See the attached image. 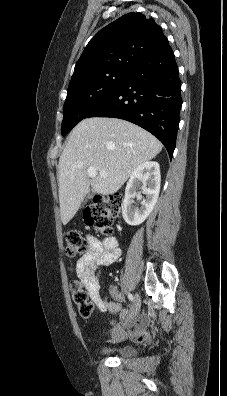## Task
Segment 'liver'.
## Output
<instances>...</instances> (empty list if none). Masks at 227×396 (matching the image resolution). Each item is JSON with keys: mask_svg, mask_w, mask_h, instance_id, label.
I'll list each match as a JSON object with an SVG mask.
<instances>
[{"mask_svg": "<svg viewBox=\"0 0 227 396\" xmlns=\"http://www.w3.org/2000/svg\"><path fill=\"white\" fill-rule=\"evenodd\" d=\"M162 143L128 121L92 117L82 120L69 135L58 164L60 216L66 225L90 190L109 195L117 192L132 172L153 159ZM97 175L89 179L87 170ZM105 171L106 177L100 176Z\"/></svg>", "mask_w": 227, "mask_h": 396, "instance_id": "6515ba94", "label": "liver"}]
</instances>
